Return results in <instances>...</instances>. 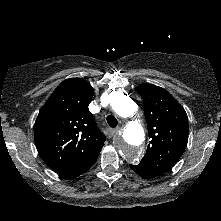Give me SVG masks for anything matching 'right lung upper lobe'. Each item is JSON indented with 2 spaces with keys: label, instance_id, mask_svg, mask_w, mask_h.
Segmentation results:
<instances>
[{
  "label": "right lung upper lobe",
  "instance_id": "1",
  "mask_svg": "<svg viewBox=\"0 0 221 221\" xmlns=\"http://www.w3.org/2000/svg\"><path fill=\"white\" fill-rule=\"evenodd\" d=\"M92 86L83 79L63 81L48 98L34 126V140L48 167L60 174L98 155L106 137L88 109Z\"/></svg>",
  "mask_w": 221,
  "mask_h": 221
}]
</instances>
